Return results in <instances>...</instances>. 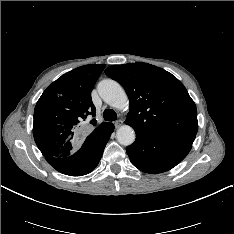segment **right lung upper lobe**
<instances>
[{
    "mask_svg": "<svg viewBox=\"0 0 234 234\" xmlns=\"http://www.w3.org/2000/svg\"><path fill=\"white\" fill-rule=\"evenodd\" d=\"M104 68L103 64L78 67L50 84L39 98L34 110L33 135L46 158L66 157L77 150L83 121L89 115L95 116L91 91ZM90 123L95 126L96 120Z\"/></svg>",
    "mask_w": 234,
    "mask_h": 234,
    "instance_id": "right-lung-upper-lobe-1",
    "label": "right lung upper lobe"
}]
</instances>
